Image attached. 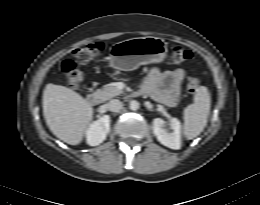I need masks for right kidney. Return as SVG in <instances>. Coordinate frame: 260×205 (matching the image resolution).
Here are the masks:
<instances>
[{
	"label": "right kidney",
	"mask_w": 260,
	"mask_h": 205,
	"mask_svg": "<svg viewBox=\"0 0 260 205\" xmlns=\"http://www.w3.org/2000/svg\"><path fill=\"white\" fill-rule=\"evenodd\" d=\"M110 131V117L104 115L90 124L86 131V141L90 146L102 143Z\"/></svg>",
	"instance_id": "obj_1"
}]
</instances>
